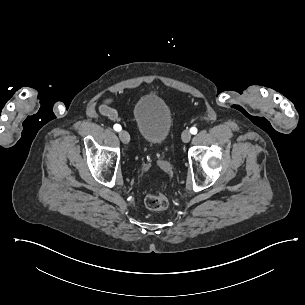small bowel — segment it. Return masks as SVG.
I'll list each match as a JSON object with an SVG mask.
<instances>
[{"label":"small bowel","mask_w":305,"mask_h":305,"mask_svg":"<svg viewBox=\"0 0 305 305\" xmlns=\"http://www.w3.org/2000/svg\"><path fill=\"white\" fill-rule=\"evenodd\" d=\"M113 102L112 98H106L105 100L102 101V103L99 106V112L101 115L111 119V120H116L119 117V114L117 110H115L111 104Z\"/></svg>","instance_id":"c3829d8e"}]
</instances>
